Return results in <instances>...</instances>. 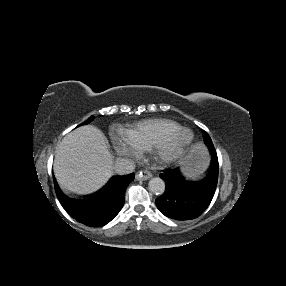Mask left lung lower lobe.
Instances as JSON below:
<instances>
[{
	"instance_id": "0a47b994",
	"label": "left lung lower lobe",
	"mask_w": 286,
	"mask_h": 286,
	"mask_svg": "<svg viewBox=\"0 0 286 286\" xmlns=\"http://www.w3.org/2000/svg\"><path fill=\"white\" fill-rule=\"evenodd\" d=\"M210 152L211 168L200 181L186 180L179 168L160 174L165 181L166 191L156 199V206L165 216L176 220H190L199 217L209 206L218 182L215 148Z\"/></svg>"
}]
</instances>
